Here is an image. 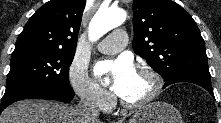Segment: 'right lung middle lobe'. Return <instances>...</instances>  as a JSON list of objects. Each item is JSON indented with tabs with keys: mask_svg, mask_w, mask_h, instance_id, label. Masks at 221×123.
Listing matches in <instances>:
<instances>
[{
	"mask_svg": "<svg viewBox=\"0 0 221 123\" xmlns=\"http://www.w3.org/2000/svg\"><path fill=\"white\" fill-rule=\"evenodd\" d=\"M74 54L44 49L13 51L3 98L20 91L36 95L53 87L70 88L69 66Z\"/></svg>",
	"mask_w": 221,
	"mask_h": 123,
	"instance_id": "obj_1",
	"label": "right lung middle lobe"
}]
</instances>
